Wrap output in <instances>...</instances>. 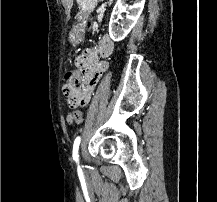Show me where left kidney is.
<instances>
[{
    "instance_id": "5707ae66",
    "label": "left kidney",
    "mask_w": 217,
    "mask_h": 202,
    "mask_svg": "<svg viewBox=\"0 0 217 202\" xmlns=\"http://www.w3.org/2000/svg\"><path fill=\"white\" fill-rule=\"evenodd\" d=\"M144 4L145 0H135L133 6H128V4L123 6L122 0H118L113 8L109 22V36L113 42H121V40H124V38L128 36L129 32L134 28L144 8ZM123 10H127L125 20L121 24L122 28H117V26H115V16H118L119 18Z\"/></svg>"
}]
</instances>
